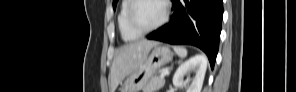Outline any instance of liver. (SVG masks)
Wrapping results in <instances>:
<instances>
[{
  "mask_svg": "<svg viewBox=\"0 0 296 92\" xmlns=\"http://www.w3.org/2000/svg\"><path fill=\"white\" fill-rule=\"evenodd\" d=\"M156 41L141 40L122 46L116 53L110 71V92H115L119 83L140 67Z\"/></svg>",
  "mask_w": 296,
  "mask_h": 92,
  "instance_id": "1",
  "label": "liver"
}]
</instances>
